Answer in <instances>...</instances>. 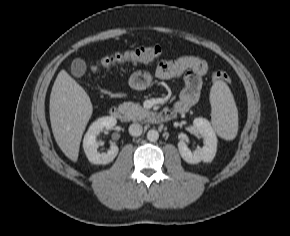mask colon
Segmentation results:
<instances>
[{
    "instance_id": "5ec220e1",
    "label": "colon",
    "mask_w": 290,
    "mask_h": 236,
    "mask_svg": "<svg viewBox=\"0 0 290 236\" xmlns=\"http://www.w3.org/2000/svg\"><path fill=\"white\" fill-rule=\"evenodd\" d=\"M163 54V49L159 45H145L133 50L118 52L113 55L104 57L99 65L92 68L93 71L99 68H112L127 63L149 62L159 58ZM213 80L215 82L229 83L228 75L223 71H216L213 73Z\"/></svg>"
}]
</instances>
